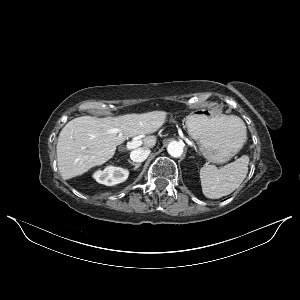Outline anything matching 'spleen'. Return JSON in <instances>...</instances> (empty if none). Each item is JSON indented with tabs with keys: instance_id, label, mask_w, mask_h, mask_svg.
<instances>
[{
	"instance_id": "1",
	"label": "spleen",
	"mask_w": 300,
	"mask_h": 300,
	"mask_svg": "<svg viewBox=\"0 0 300 300\" xmlns=\"http://www.w3.org/2000/svg\"><path fill=\"white\" fill-rule=\"evenodd\" d=\"M234 126L243 132L246 140V126L241 118L231 116ZM249 157L244 155L236 161L218 169L215 165H205L200 170L203 194L211 199H218L236 190L248 173Z\"/></svg>"
}]
</instances>
